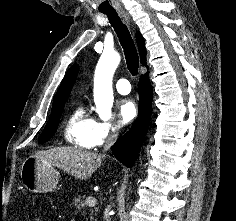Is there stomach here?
I'll return each instance as SVG.
<instances>
[{
  "mask_svg": "<svg viewBox=\"0 0 236 221\" xmlns=\"http://www.w3.org/2000/svg\"><path fill=\"white\" fill-rule=\"evenodd\" d=\"M20 175L24 186L34 193L53 191L59 180L58 171L35 156H30L23 162Z\"/></svg>",
  "mask_w": 236,
  "mask_h": 221,
  "instance_id": "stomach-1",
  "label": "stomach"
}]
</instances>
